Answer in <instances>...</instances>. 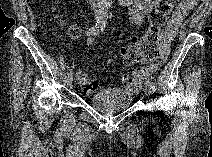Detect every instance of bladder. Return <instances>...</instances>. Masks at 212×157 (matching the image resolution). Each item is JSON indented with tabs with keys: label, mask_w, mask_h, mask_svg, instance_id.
Listing matches in <instances>:
<instances>
[{
	"label": "bladder",
	"mask_w": 212,
	"mask_h": 157,
	"mask_svg": "<svg viewBox=\"0 0 212 157\" xmlns=\"http://www.w3.org/2000/svg\"><path fill=\"white\" fill-rule=\"evenodd\" d=\"M134 95L119 88H106L90 95L89 104L96 111L108 113L128 108Z\"/></svg>",
	"instance_id": "bladder-1"
}]
</instances>
